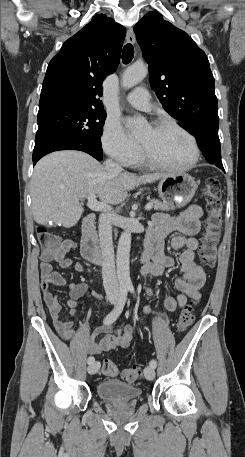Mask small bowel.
Listing matches in <instances>:
<instances>
[{
  "label": "small bowel",
  "instance_id": "c3829d8e",
  "mask_svg": "<svg viewBox=\"0 0 245 457\" xmlns=\"http://www.w3.org/2000/svg\"><path fill=\"white\" fill-rule=\"evenodd\" d=\"M202 217L203 209L198 205H192L176 216L165 213L155 214L152 226L148 229L145 248L151 251L152 262L143 268V276L148 274L161 276L166 268L175 265V260L165 255L163 251L164 240L169 234L177 232L172 237L171 246L175 250H182L179 255L182 274L175 282L180 293L176 297L167 296L165 298L164 307L168 312H174L184 307L188 298L194 304L200 300V289L205 283L206 274L195 261V251L198 248L196 235L201 229ZM75 246L76 243L68 239L61 244L56 254L41 255V289L55 329L73 347L89 354L97 355L118 347L127 348L135 335V329L130 325L115 327L114 322L104 324L90 334L86 328L75 329L73 322L61 318V305L50 292V286L68 287L67 305L71 314L75 312L78 300L88 291L86 283H68L60 273L53 271L51 265L52 261H56L62 268H73L77 272H83L84 266L81 263L74 262L67 257ZM147 293L153 297L150 289H147ZM91 296L99 301L103 300L102 295L96 291H92ZM145 311L152 312L149 307H146ZM97 336L101 337L96 340Z\"/></svg>",
  "mask_w": 245,
  "mask_h": 457
}]
</instances>
